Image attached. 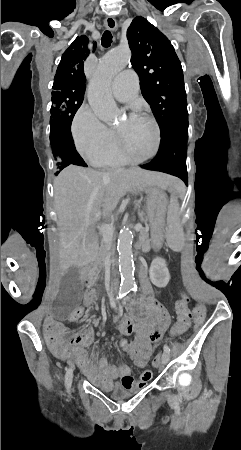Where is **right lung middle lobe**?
<instances>
[{"label":"right lung middle lobe","instance_id":"dd1d6c3e","mask_svg":"<svg viewBox=\"0 0 241 450\" xmlns=\"http://www.w3.org/2000/svg\"><path fill=\"white\" fill-rule=\"evenodd\" d=\"M50 116V140L57 174L69 165L65 146L73 143L71 121L81 106L85 88L66 83L53 84Z\"/></svg>","mask_w":241,"mask_h":450}]
</instances>
